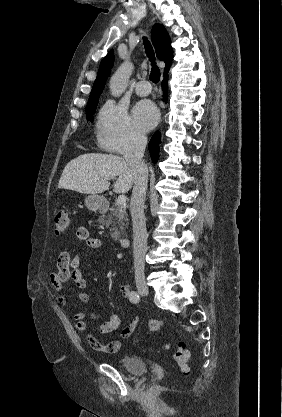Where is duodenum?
Returning <instances> with one entry per match:
<instances>
[{
  "instance_id": "1",
  "label": "duodenum",
  "mask_w": 282,
  "mask_h": 417,
  "mask_svg": "<svg viewBox=\"0 0 282 417\" xmlns=\"http://www.w3.org/2000/svg\"><path fill=\"white\" fill-rule=\"evenodd\" d=\"M129 241H130V237L129 236H123V237H121V239H120V245H121V247L122 248H127L128 247V245H129Z\"/></svg>"
}]
</instances>
